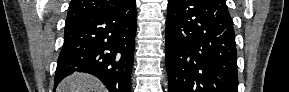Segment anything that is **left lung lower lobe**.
<instances>
[{
  "label": "left lung lower lobe",
  "mask_w": 289,
  "mask_h": 92,
  "mask_svg": "<svg viewBox=\"0 0 289 92\" xmlns=\"http://www.w3.org/2000/svg\"><path fill=\"white\" fill-rule=\"evenodd\" d=\"M165 40L168 92H238L225 0H169Z\"/></svg>",
  "instance_id": "0a47b994"
}]
</instances>
